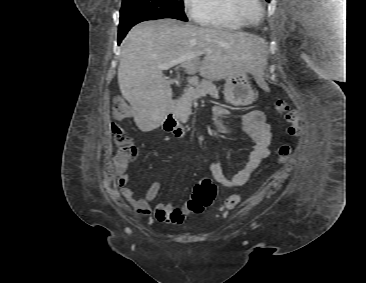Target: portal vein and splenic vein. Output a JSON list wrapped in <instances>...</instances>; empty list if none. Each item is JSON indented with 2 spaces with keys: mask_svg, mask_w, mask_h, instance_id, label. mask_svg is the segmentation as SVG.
I'll return each instance as SVG.
<instances>
[{
  "mask_svg": "<svg viewBox=\"0 0 366 283\" xmlns=\"http://www.w3.org/2000/svg\"><path fill=\"white\" fill-rule=\"evenodd\" d=\"M206 52L207 51H199V52H197V55H202V54H204ZM181 61H182L181 59H177V60H173V61H171L169 63L161 64V65H159V69H161V70H169L171 67L177 65Z\"/></svg>",
  "mask_w": 366,
  "mask_h": 283,
  "instance_id": "portal-vein-and-splenic-vein-1",
  "label": "portal vein and splenic vein"
}]
</instances>
